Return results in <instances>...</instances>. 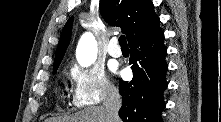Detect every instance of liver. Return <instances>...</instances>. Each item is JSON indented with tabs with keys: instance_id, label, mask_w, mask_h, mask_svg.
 Here are the masks:
<instances>
[{
	"instance_id": "liver-1",
	"label": "liver",
	"mask_w": 221,
	"mask_h": 122,
	"mask_svg": "<svg viewBox=\"0 0 221 122\" xmlns=\"http://www.w3.org/2000/svg\"><path fill=\"white\" fill-rule=\"evenodd\" d=\"M50 121L51 122H108V119L105 108L102 106H97V107H88L71 116H65L63 118H51L46 120V122Z\"/></svg>"
}]
</instances>
